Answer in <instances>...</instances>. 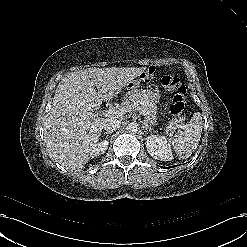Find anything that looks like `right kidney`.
Returning a JSON list of instances; mask_svg holds the SVG:
<instances>
[{"instance_id": "1", "label": "right kidney", "mask_w": 247, "mask_h": 247, "mask_svg": "<svg viewBox=\"0 0 247 247\" xmlns=\"http://www.w3.org/2000/svg\"><path fill=\"white\" fill-rule=\"evenodd\" d=\"M107 148H108V141L107 140H103L99 143H96L90 151V156L97 157L99 155H102L105 153Z\"/></svg>"}]
</instances>
